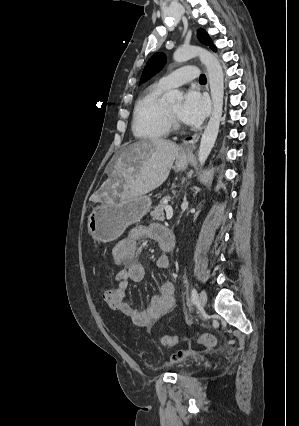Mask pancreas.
Instances as JSON below:
<instances>
[{"label": "pancreas", "instance_id": "cf45deb5", "mask_svg": "<svg viewBox=\"0 0 299 426\" xmlns=\"http://www.w3.org/2000/svg\"><path fill=\"white\" fill-rule=\"evenodd\" d=\"M169 200V197H163L159 204L154 208L153 211H151V216L154 220H163L164 218V210L167 205V201Z\"/></svg>", "mask_w": 299, "mask_h": 426}]
</instances>
